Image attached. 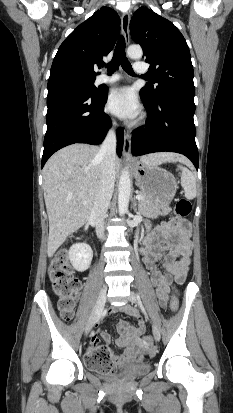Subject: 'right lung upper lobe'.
<instances>
[{
    "label": "right lung upper lobe",
    "instance_id": "obj_1",
    "mask_svg": "<svg viewBox=\"0 0 233 413\" xmlns=\"http://www.w3.org/2000/svg\"><path fill=\"white\" fill-rule=\"evenodd\" d=\"M120 33L116 11L102 7L80 24L61 44L53 60L49 81L64 77L95 78V67L113 49Z\"/></svg>",
    "mask_w": 233,
    "mask_h": 413
}]
</instances>
